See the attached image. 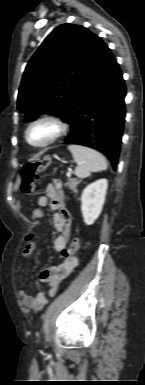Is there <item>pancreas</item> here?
<instances>
[{
	"label": "pancreas",
	"instance_id": "cf45deb5",
	"mask_svg": "<svg viewBox=\"0 0 145 385\" xmlns=\"http://www.w3.org/2000/svg\"><path fill=\"white\" fill-rule=\"evenodd\" d=\"M80 180L76 179V178H71L68 180L67 182V186L69 189H71L73 192H77V186L80 184Z\"/></svg>",
	"mask_w": 145,
	"mask_h": 385
}]
</instances>
